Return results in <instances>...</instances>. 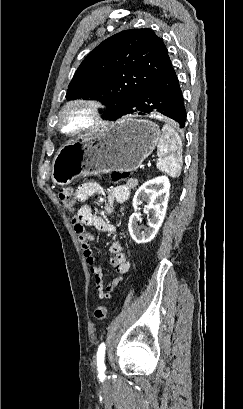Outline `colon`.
<instances>
[{
    "mask_svg": "<svg viewBox=\"0 0 243 409\" xmlns=\"http://www.w3.org/2000/svg\"><path fill=\"white\" fill-rule=\"evenodd\" d=\"M110 176L114 182H118L127 179L129 177V172L117 170L113 171ZM58 197L68 211L74 212L77 209L79 198L76 192L73 190L61 188L58 190ZM107 312V307L105 305H101L96 307L94 316L98 321H104L106 319Z\"/></svg>",
    "mask_w": 243,
    "mask_h": 409,
    "instance_id": "1",
    "label": "colon"
}]
</instances>
